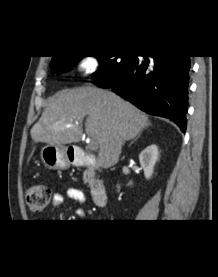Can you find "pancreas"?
<instances>
[{"label": "pancreas", "instance_id": "pancreas-1", "mask_svg": "<svg viewBox=\"0 0 218 277\" xmlns=\"http://www.w3.org/2000/svg\"><path fill=\"white\" fill-rule=\"evenodd\" d=\"M89 174H90V171H89V170H87V171L84 173V183H87V182L90 181Z\"/></svg>", "mask_w": 218, "mask_h": 277}]
</instances>
